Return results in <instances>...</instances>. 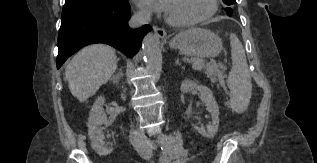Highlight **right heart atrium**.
<instances>
[{
	"label": "right heart atrium",
	"instance_id": "obj_1",
	"mask_svg": "<svg viewBox=\"0 0 317 163\" xmlns=\"http://www.w3.org/2000/svg\"><path fill=\"white\" fill-rule=\"evenodd\" d=\"M137 15H138L140 18H143V19H145V18L148 17V13H147V11H145V10H140V11H138Z\"/></svg>",
	"mask_w": 317,
	"mask_h": 163
}]
</instances>
